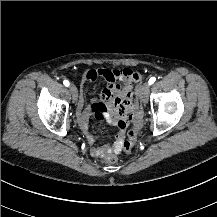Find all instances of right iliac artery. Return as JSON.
<instances>
[{"mask_svg":"<svg viewBox=\"0 0 217 217\" xmlns=\"http://www.w3.org/2000/svg\"><path fill=\"white\" fill-rule=\"evenodd\" d=\"M63 84H64L66 87H68V86L70 85V83H69L68 80H64V81H63Z\"/></svg>","mask_w":217,"mask_h":217,"instance_id":"82829eb1","label":"right iliac artery"}]
</instances>
